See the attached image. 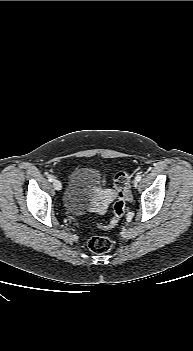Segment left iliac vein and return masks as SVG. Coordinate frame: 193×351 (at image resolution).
Returning a JSON list of instances; mask_svg holds the SVG:
<instances>
[{"label": "left iliac vein", "mask_w": 193, "mask_h": 351, "mask_svg": "<svg viewBox=\"0 0 193 351\" xmlns=\"http://www.w3.org/2000/svg\"><path fill=\"white\" fill-rule=\"evenodd\" d=\"M137 185H138V182L135 180V181L133 182V186H134V187H137Z\"/></svg>", "instance_id": "1"}]
</instances>
